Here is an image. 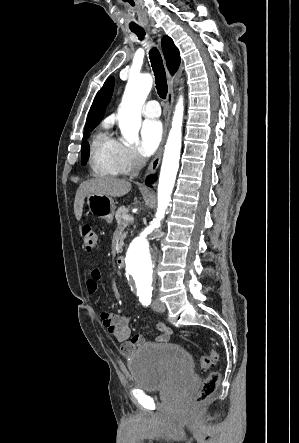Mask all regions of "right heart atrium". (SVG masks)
Wrapping results in <instances>:
<instances>
[{
    "mask_svg": "<svg viewBox=\"0 0 299 443\" xmlns=\"http://www.w3.org/2000/svg\"><path fill=\"white\" fill-rule=\"evenodd\" d=\"M117 156L118 164L122 173L137 170L144 163V158L141 156L137 148L123 141H118Z\"/></svg>",
    "mask_w": 299,
    "mask_h": 443,
    "instance_id": "right-heart-atrium-1",
    "label": "right heart atrium"
}]
</instances>
